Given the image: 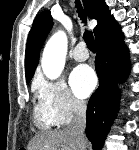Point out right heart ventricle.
<instances>
[{
  "instance_id": "obj_1",
  "label": "right heart ventricle",
  "mask_w": 139,
  "mask_h": 150,
  "mask_svg": "<svg viewBox=\"0 0 139 150\" xmlns=\"http://www.w3.org/2000/svg\"><path fill=\"white\" fill-rule=\"evenodd\" d=\"M33 121L36 127L41 130H49L57 125L53 115L40 99L34 106Z\"/></svg>"
}]
</instances>
